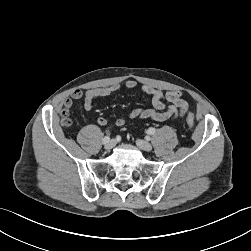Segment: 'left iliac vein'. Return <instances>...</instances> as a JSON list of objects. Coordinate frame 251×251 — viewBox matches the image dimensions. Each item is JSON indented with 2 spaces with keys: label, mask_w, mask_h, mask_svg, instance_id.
<instances>
[{
  "label": "left iliac vein",
  "mask_w": 251,
  "mask_h": 251,
  "mask_svg": "<svg viewBox=\"0 0 251 251\" xmlns=\"http://www.w3.org/2000/svg\"><path fill=\"white\" fill-rule=\"evenodd\" d=\"M136 144L142 150H145V151H151L152 150V145L147 141L138 139L136 141Z\"/></svg>",
  "instance_id": "1"
}]
</instances>
